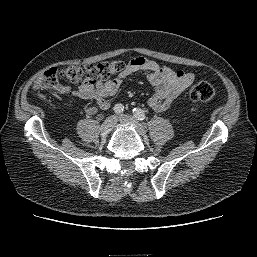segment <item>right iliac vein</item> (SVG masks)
Returning <instances> with one entry per match:
<instances>
[{"label":"right iliac vein","instance_id":"obj_1","mask_svg":"<svg viewBox=\"0 0 257 257\" xmlns=\"http://www.w3.org/2000/svg\"><path fill=\"white\" fill-rule=\"evenodd\" d=\"M117 123L116 116H109L106 120L102 123L100 127L101 135L106 136L109 132L114 128Z\"/></svg>","mask_w":257,"mask_h":257}]
</instances>
